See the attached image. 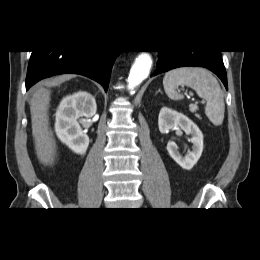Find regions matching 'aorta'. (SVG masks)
<instances>
[{
  "label": "aorta",
  "instance_id": "762f6f07",
  "mask_svg": "<svg viewBox=\"0 0 260 260\" xmlns=\"http://www.w3.org/2000/svg\"><path fill=\"white\" fill-rule=\"evenodd\" d=\"M152 66V58L148 53L140 54L130 69L128 77V88L133 93L137 87L149 75Z\"/></svg>",
  "mask_w": 260,
  "mask_h": 260
}]
</instances>
